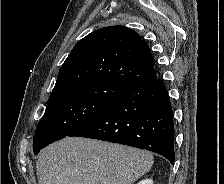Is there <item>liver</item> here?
I'll return each mask as SVG.
<instances>
[{"mask_svg": "<svg viewBox=\"0 0 224 184\" xmlns=\"http://www.w3.org/2000/svg\"><path fill=\"white\" fill-rule=\"evenodd\" d=\"M153 163L148 151L66 137L40 152L36 171L39 184H133Z\"/></svg>", "mask_w": 224, "mask_h": 184, "instance_id": "1", "label": "liver"}]
</instances>
